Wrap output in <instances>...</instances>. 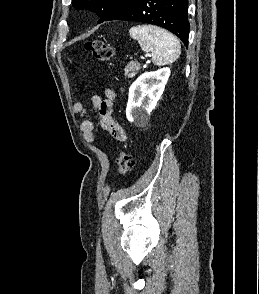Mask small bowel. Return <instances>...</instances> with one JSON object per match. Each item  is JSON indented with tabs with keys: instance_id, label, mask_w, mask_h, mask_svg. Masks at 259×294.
I'll use <instances>...</instances> for the list:
<instances>
[{
	"instance_id": "obj_1",
	"label": "small bowel",
	"mask_w": 259,
	"mask_h": 294,
	"mask_svg": "<svg viewBox=\"0 0 259 294\" xmlns=\"http://www.w3.org/2000/svg\"><path fill=\"white\" fill-rule=\"evenodd\" d=\"M114 97L115 92L107 89L105 91V98L100 95H94L92 97V106L97 113L100 126L118 141L125 142L127 139L126 133L113 117L112 101ZM73 113L79 116H85L87 110L82 103L77 102L73 105ZM79 128L86 141L92 142L95 140V130L92 122L82 120Z\"/></svg>"
}]
</instances>
